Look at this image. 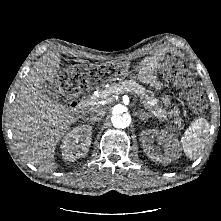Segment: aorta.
I'll use <instances>...</instances> for the list:
<instances>
[{
    "label": "aorta",
    "instance_id": "1",
    "mask_svg": "<svg viewBox=\"0 0 221 221\" xmlns=\"http://www.w3.org/2000/svg\"><path fill=\"white\" fill-rule=\"evenodd\" d=\"M111 123L115 128L118 129L127 128L131 123V116L124 110L122 106H116L113 109Z\"/></svg>",
    "mask_w": 221,
    "mask_h": 221
}]
</instances>
